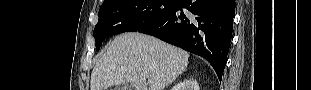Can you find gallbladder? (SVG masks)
<instances>
[{
  "label": "gallbladder",
  "instance_id": "obj_1",
  "mask_svg": "<svg viewBox=\"0 0 311 90\" xmlns=\"http://www.w3.org/2000/svg\"><path fill=\"white\" fill-rule=\"evenodd\" d=\"M132 85H128V84H121V85H117L115 87V90H132Z\"/></svg>",
  "mask_w": 311,
  "mask_h": 90
}]
</instances>
